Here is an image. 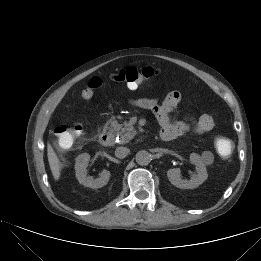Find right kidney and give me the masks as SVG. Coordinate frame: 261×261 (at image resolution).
<instances>
[{"instance_id":"1","label":"right kidney","mask_w":261,"mask_h":261,"mask_svg":"<svg viewBox=\"0 0 261 261\" xmlns=\"http://www.w3.org/2000/svg\"><path fill=\"white\" fill-rule=\"evenodd\" d=\"M89 160L90 155L87 153H83L76 158L75 171L76 178L78 179L79 183L92 189H98L105 186L109 181L110 171L104 169L97 179L87 177L86 168L88 166Z\"/></svg>"}]
</instances>
